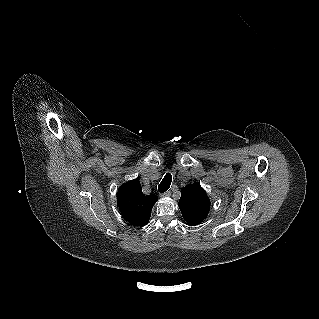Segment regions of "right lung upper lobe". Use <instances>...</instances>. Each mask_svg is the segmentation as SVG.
<instances>
[{"label": "right lung upper lobe", "instance_id": "cb5924a9", "mask_svg": "<svg viewBox=\"0 0 319 319\" xmlns=\"http://www.w3.org/2000/svg\"><path fill=\"white\" fill-rule=\"evenodd\" d=\"M157 197L154 194L144 195L137 179L120 186L117 192V206L122 217L133 226H144L148 223Z\"/></svg>", "mask_w": 319, "mask_h": 319}]
</instances>
